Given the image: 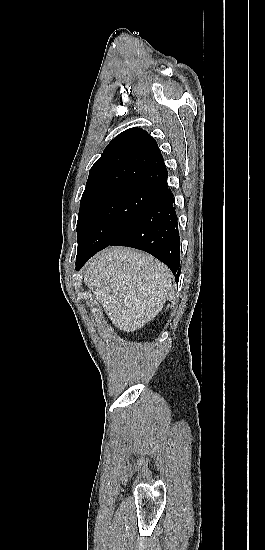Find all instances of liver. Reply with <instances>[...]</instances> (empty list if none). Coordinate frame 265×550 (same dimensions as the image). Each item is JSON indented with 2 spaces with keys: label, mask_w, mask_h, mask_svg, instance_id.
Instances as JSON below:
<instances>
[{
  "label": "liver",
  "mask_w": 265,
  "mask_h": 550,
  "mask_svg": "<svg viewBox=\"0 0 265 550\" xmlns=\"http://www.w3.org/2000/svg\"><path fill=\"white\" fill-rule=\"evenodd\" d=\"M170 269L151 255L109 247L87 264L84 283L112 323L127 333L142 328L163 309L173 288Z\"/></svg>",
  "instance_id": "1"
}]
</instances>
